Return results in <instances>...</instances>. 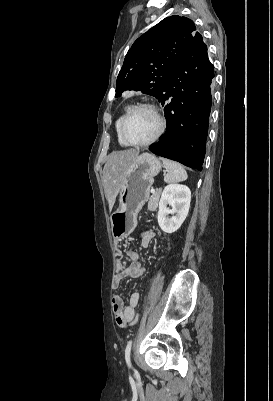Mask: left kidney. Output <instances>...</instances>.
I'll use <instances>...</instances> for the list:
<instances>
[{"mask_svg": "<svg viewBox=\"0 0 273 401\" xmlns=\"http://www.w3.org/2000/svg\"><path fill=\"white\" fill-rule=\"evenodd\" d=\"M191 201V190L185 184H167L159 201L158 225L164 233H175L184 223ZM170 205L172 209H169ZM167 215H173L168 219Z\"/></svg>", "mask_w": 273, "mask_h": 401, "instance_id": "obj_1", "label": "left kidney"}]
</instances>
